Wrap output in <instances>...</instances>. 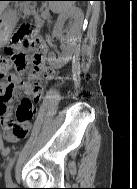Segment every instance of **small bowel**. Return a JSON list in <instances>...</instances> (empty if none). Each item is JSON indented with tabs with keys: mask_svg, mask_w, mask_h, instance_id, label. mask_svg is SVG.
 <instances>
[{
	"mask_svg": "<svg viewBox=\"0 0 137 189\" xmlns=\"http://www.w3.org/2000/svg\"><path fill=\"white\" fill-rule=\"evenodd\" d=\"M38 68L40 75L33 81L24 79L22 73H15L11 75L7 84L0 86V126L6 140L10 143L17 142L27 135L36 112L31 116L19 119L17 111L14 116L11 108L12 102L21 95H28L29 97L21 99L20 103L26 99L35 108V104L39 102L43 92L45 81H52L56 78L55 71L44 61L39 63ZM47 68L51 72L45 75Z\"/></svg>",
	"mask_w": 137,
	"mask_h": 189,
	"instance_id": "obj_1",
	"label": "small bowel"
}]
</instances>
